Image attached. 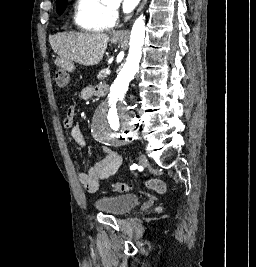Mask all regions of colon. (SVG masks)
Listing matches in <instances>:
<instances>
[{
    "mask_svg": "<svg viewBox=\"0 0 256 267\" xmlns=\"http://www.w3.org/2000/svg\"><path fill=\"white\" fill-rule=\"evenodd\" d=\"M55 82L58 87L65 88L70 85L71 78L70 73H64L63 71L55 72ZM145 187L156 191V192H165L167 187L165 183L159 179H150L144 183ZM112 188L116 192H128L131 189V185L125 182H114ZM161 206H157V209H160Z\"/></svg>",
    "mask_w": 256,
    "mask_h": 267,
    "instance_id": "1",
    "label": "colon"
}]
</instances>
